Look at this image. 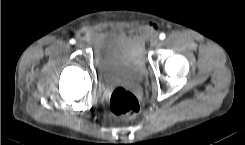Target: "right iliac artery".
<instances>
[{"mask_svg":"<svg viewBox=\"0 0 245 145\" xmlns=\"http://www.w3.org/2000/svg\"><path fill=\"white\" fill-rule=\"evenodd\" d=\"M70 43H71V44H74V43H75V40H74V39H71V40H70Z\"/></svg>","mask_w":245,"mask_h":145,"instance_id":"82829eb1","label":"right iliac artery"}]
</instances>
